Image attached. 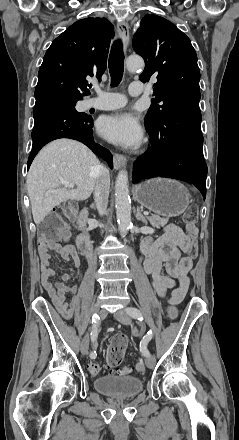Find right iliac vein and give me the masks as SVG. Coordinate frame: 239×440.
Returning a JSON list of instances; mask_svg holds the SVG:
<instances>
[{
	"label": "right iliac vein",
	"instance_id": "63e3f726",
	"mask_svg": "<svg viewBox=\"0 0 239 440\" xmlns=\"http://www.w3.org/2000/svg\"><path fill=\"white\" fill-rule=\"evenodd\" d=\"M95 309H98V307L96 306ZM107 316V311L105 309H101L99 311V317L101 319H104ZM81 353L82 354H87L88 353V349H89V336L88 334H86L81 342Z\"/></svg>",
	"mask_w": 239,
	"mask_h": 440
}]
</instances>
